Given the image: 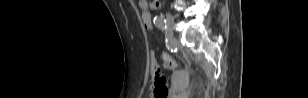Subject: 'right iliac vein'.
I'll list each match as a JSON object with an SVG mask.
<instances>
[{
  "label": "right iliac vein",
  "instance_id": "obj_1",
  "mask_svg": "<svg viewBox=\"0 0 308 98\" xmlns=\"http://www.w3.org/2000/svg\"><path fill=\"white\" fill-rule=\"evenodd\" d=\"M166 23H167V27H168V32L170 35H173V29H172V26H173V17L171 14L169 13H166Z\"/></svg>",
  "mask_w": 308,
  "mask_h": 98
}]
</instances>
